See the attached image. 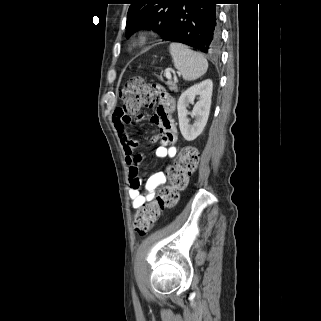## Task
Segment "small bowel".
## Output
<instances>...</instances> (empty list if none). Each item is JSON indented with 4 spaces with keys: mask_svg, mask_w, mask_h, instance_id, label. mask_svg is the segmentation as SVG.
Segmentation results:
<instances>
[{
    "mask_svg": "<svg viewBox=\"0 0 321 321\" xmlns=\"http://www.w3.org/2000/svg\"><path fill=\"white\" fill-rule=\"evenodd\" d=\"M150 90H157L155 94L159 96L155 113L150 116V121L159 127V133L150 139L153 144H158L155 155L157 158L173 159L177 155L176 141L177 129L174 120L175 100L166 93L164 89H157V83H150ZM145 114H139L137 119H133L130 114H125L121 109L114 112L112 121L114 128L121 141L126 163L129 167V197L131 206L139 209L147 202L155 198L157 189L166 182V171L153 173L145 183V193L140 192L142 181L139 177V167L145 157L142 153L136 152L138 142L129 136L128 126L135 125L137 121L144 119Z\"/></svg>",
    "mask_w": 321,
    "mask_h": 321,
    "instance_id": "c3829d8e",
    "label": "small bowel"
}]
</instances>
